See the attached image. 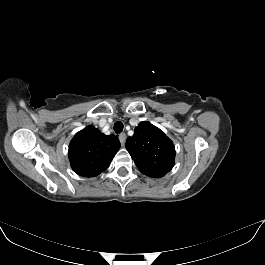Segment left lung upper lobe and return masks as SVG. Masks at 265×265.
Instances as JSON below:
<instances>
[{
    "mask_svg": "<svg viewBox=\"0 0 265 265\" xmlns=\"http://www.w3.org/2000/svg\"><path fill=\"white\" fill-rule=\"evenodd\" d=\"M125 147L141 173L160 178L171 171L175 163L173 142L150 122H140Z\"/></svg>",
    "mask_w": 265,
    "mask_h": 265,
    "instance_id": "left-lung-upper-lobe-1",
    "label": "left lung upper lobe"
}]
</instances>
